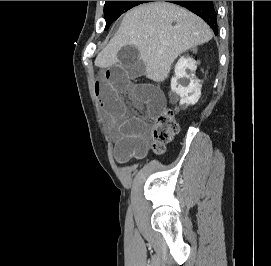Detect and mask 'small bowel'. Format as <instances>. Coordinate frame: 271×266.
<instances>
[{
	"mask_svg": "<svg viewBox=\"0 0 271 266\" xmlns=\"http://www.w3.org/2000/svg\"><path fill=\"white\" fill-rule=\"evenodd\" d=\"M144 72L143 64L128 55L122 62L105 67L95 83L96 96L115 133L119 163L143 157L148 144L145 122L128 115L123 96H127L136 108L144 107L150 114L158 113L165 104V97L159 88L134 82Z\"/></svg>",
	"mask_w": 271,
	"mask_h": 266,
	"instance_id": "1",
	"label": "small bowel"
}]
</instances>
